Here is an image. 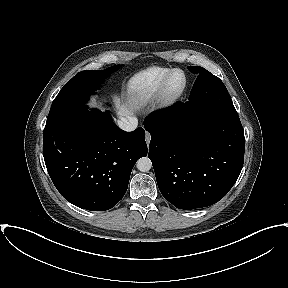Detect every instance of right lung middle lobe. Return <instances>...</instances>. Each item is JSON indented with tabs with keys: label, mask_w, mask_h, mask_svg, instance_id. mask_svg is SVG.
Returning <instances> with one entry per match:
<instances>
[{
	"label": "right lung middle lobe",
	"mask_w": 288,
	"mask_h": 288,
	"mask_svg": "<svg viewBox=\"0 0 288 288\" xmlns=\"http://www.w3.org/2000/svg\"><path fill=\"white\" fill-rule=\"evenodd\" d=\"M118 67L113 66L105 70H88L76 74L54 99L47 120L67 110L85 105L89 95L95 93L103 80Z\"/></svg>",
	"instance_id": "right-lung-middle-lobe-1"
}]
</instances>
